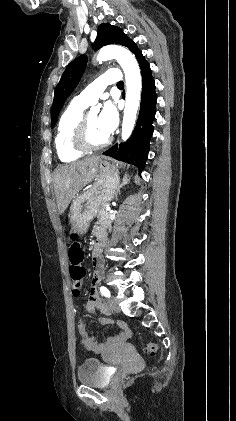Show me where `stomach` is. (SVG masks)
Listing matches in <instances>:
<instances>
[{
    "mask_svg": "<svg viewBox=\"0 0 236 421\" xmlns=\"http://www.w3.org/2000/svg\"><path fill=\"white\" fill-rule=\"evenodd\" d=\"M119 182V172L114 164L100 158L93 186L82 194H77L72 200L69 219L73 233H87L91 221L98 215L100 206L114 198Z\"/></svg>",
    "mask_w": 236,
    "mask_h": 421,
    "instance_id": "stomach-1",
    "label": "stomach"
}]
</instances>
